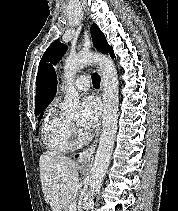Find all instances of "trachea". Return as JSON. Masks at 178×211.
<instances>
[{"label": "trachea", "instance_id": "trachea-1", "mask_svg": "<svg viewBox=\"0 0 178 211\" xmlns=\"http://www.w3.org/2000/svg\"><path fill=\"white\" fill-rule=\"evenodd\" d=\"M92 83L93 86L98 89L100 87V76L97 73H93L92 75Z\"/></svg>", "mask_w": 178, "mask_h": 211}]
</instances>
